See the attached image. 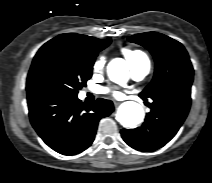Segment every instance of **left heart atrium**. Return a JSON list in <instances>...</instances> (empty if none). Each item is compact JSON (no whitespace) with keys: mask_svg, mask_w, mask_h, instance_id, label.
<instances>
[{"mask_svg":"<svg viewBox=\"0 0 212 183\" xmlns=\"http://www.w3.org/2000/svg\"><path fill=\"white\" fill-rule=\"evenodd\" d=\"M102 91H103V93L111 94L114 97H120L122 95V93L118 89L111 88V87H105V88H103Z\"/></svg>","mask_w":212,"mask_h":183,"instance_id":"39dd6f15","label":"left heart atrium"}]
</instances>
